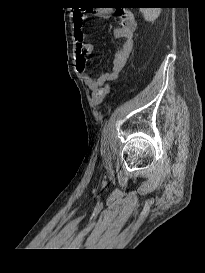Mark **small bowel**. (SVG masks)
<instances>
[{
	"instance_id": "small-bowel-1",
	"label": "small bowel",
	"mask_w": 205,
	"mask_h": 273,
	"mask_svg": "<svg viewBox=\"0 0 205 273\" xmlns=\"http://www.w3.org/2000/svg\"><path fill=\"white\" fill-rule=\"evenodd\" d=\"M113 13V10L103 8L98 11L97 15L99 18L107 19L110 18ZM118 17L121 25L115 29L114 34L116 38L121 40V45L114 55L112 71L104 72L97 78H94L85 70L86 58L93 52L94 45L90 42H85V34L82 31L84 15L80 12H75L73 16L74 36L76 39L77 52V70L81 73L86 85L93 91V93L98 91L106 82L113 81L119 76L133 48V35L137 26L135 17L128 11H119Z\"/></svg>"
}]
</instances>
